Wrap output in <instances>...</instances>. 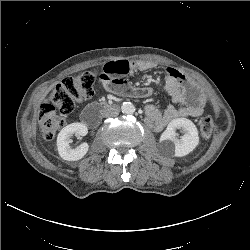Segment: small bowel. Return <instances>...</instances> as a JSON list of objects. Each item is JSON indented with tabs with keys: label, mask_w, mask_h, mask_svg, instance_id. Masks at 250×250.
<instances>
[{
	"label": "small bowel",
	"mask_w": 250,
	"mask_h": 250,
	"mask_svg": "<svg viewBox=\"0 0 250 250\" xmlns=\"http://www.w3.org/2000/svg\"><path fill=\"white\" fill-rule=\"evenodd\" d=\"M151 68L148 62H130L127 60L107 62L100 74L102 84L111 92L133 97H147L152 93L150 87H132L123 78L138 70ZM164 90L172 98V105L164 110L155 105L145 108L147 123L155 130H163L168 123L178 118L198 117L203 113L205 98L196 84L189 81L180 71L168 68Z\"/></svg>",
	"instance_id": "c3829d8e"
}]
</instances>
